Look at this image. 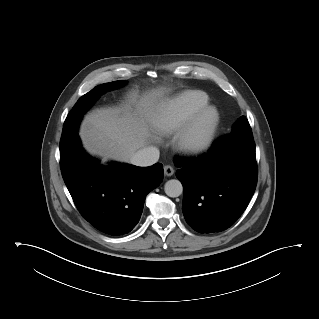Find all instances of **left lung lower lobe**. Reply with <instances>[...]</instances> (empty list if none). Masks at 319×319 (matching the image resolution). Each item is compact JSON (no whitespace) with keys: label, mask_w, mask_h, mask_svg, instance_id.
Wrapping results in <instances>:
<instances>
[{"label":"left lung lower lobe","mask_w":319,"mask_h":319,"mask_svg":"<svg viewBox=\"0 0 319 319\" xmlns=\"http://www.w3.org/2000/svg\"><path fill=\"white\" fill-rule=\"evenodd\" d=\"M183 184L182 210L199 233L229 228L244 212L257 184L253 139L226 136L204 156L175 161Z\"/></svg>","instance_id":"0a47b994"}]
</instances>
